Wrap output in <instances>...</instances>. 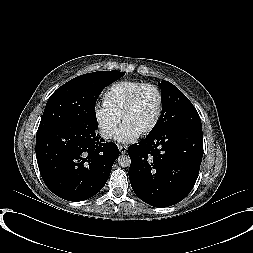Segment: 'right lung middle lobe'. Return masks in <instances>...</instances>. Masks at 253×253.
<instances>
[{
    "mask_svg": "<svg viewBox=\"0 0 253 253\" xmlns=\"http://www.w3.org/2000/svg\"><path fill=\"white\" fill-rule=\"evenodd\" d=\"M124 74L119 71H98L68 81L50 96L37 132L74 122L97 128V98L106 86Z\"/></svg>",
    "mask_w": 253,
    "mask_h": 253,
    "instance_id": "1",
    "label": "right lung middle lobe"
}]
</instances>
